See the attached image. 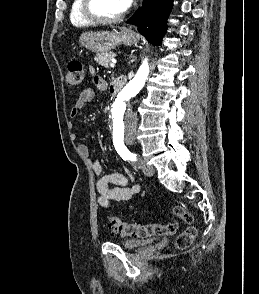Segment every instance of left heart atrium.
I'll return each mask as SVG.
<instances>
[{"mask_svg":"<svg viewBox=\"0 0 259 294\" xmlns=\"http://www.w3.org/2000/svg\"><path fill=\"white\" fill-rule=\"evenodd\" d=\"M132 1L133 0H121L124 10L128 9L131 6Z\"/></svg>","mask_w":259,"mask_h":294,"instance_id":"39dd6f15","label":"left heart atrium"}]
</instances>
